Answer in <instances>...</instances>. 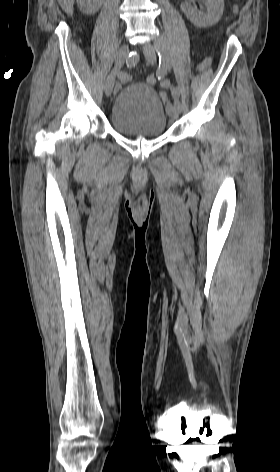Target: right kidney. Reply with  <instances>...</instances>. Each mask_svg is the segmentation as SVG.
I'll list each match as a JSON object with an SVG mask.
<instances>
[{
    "label": "right kidney",
    "instance_id": "right-kidney-1",
    "mask_svg": "<svg viewBox=\"0 0 280 472\" xmlns=\"http://www.w3.org/2000/svg\"><path fill=\"white\" fill-rule=\"evenodd\" d=\"M102 1L103 0H77L80 10L86 15L96 13L100 9Z\"/></svg>",
    "mask_w": 280,
    "mask_h": 472
}]
</instances>
